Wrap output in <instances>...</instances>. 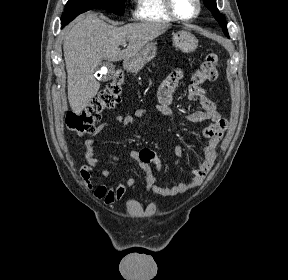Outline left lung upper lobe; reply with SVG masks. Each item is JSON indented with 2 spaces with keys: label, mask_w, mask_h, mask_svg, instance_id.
Instances as JSON below:
<instances>
[{
  "label": "left lung upper lobe",
  "mask_w": 288,
  "mask_h": 280,
  "mask_svg": "<svg viewBox=\"0 0 288 280\" xmlns=\"http://www.w3.org/2000/svg\"><path fill=\"white\" fill-rule=\"evenodd\" d=\"M204 5L212 12L216 20L219 22L220 26L223 29L224 34L229 37L227 27H226V20L225 17L219 13L217 6H216V0H203Z\"/></svg>",
  "instance_id": "obj_1"
}]
</instances>
